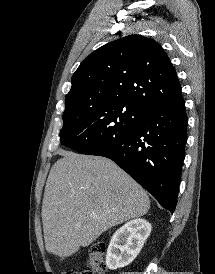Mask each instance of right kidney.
Here are the masks:
<instances>
[{"instance_id": "ca27d5eb", "label": "right kidney", "mask_w": 215, "mask_h": 274, "mask_svg": "<svg viewBox=\"0 0 215 274\" xmlns=\"http://www.w3.org/2000/svg\"><path fill=\"white\" fill-rule=\"evenodd\" d=\"M150 232L151 224L140 218L120 227L113 234L107 249V267L116 270L129 265L139 254Z\"/></svg>"}]
</instances>
